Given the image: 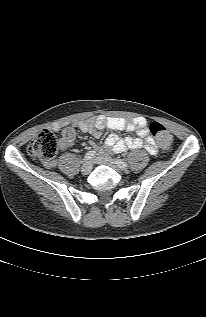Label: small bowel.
Here are the masks:
<instances>
[{"instance_id": "1", "label": "small bowel", "mask_w": 206, "mask_h": 317, "mask_svg": "<svg viewBox=\"0 0 206 317\" xmlns=\"http://www.w3.org/2000/svg\"><path fill=\"white\" fill-rule=\"evenodd\" d=\"M74 128H78L82 132L90 133L95 138H99L102 134V130L105 128L113 131L125 130L136 132L138 137L127 136L125 138H120L116 134H111L106 138L105 144L109 149L116 153H122L128 149L141 148H144L151 155H156L158 153V147L156 146L154 139L149 136L146 121L141 117L128 121L119 117L99 115L87 120L74 122L73 126L67 129L68 133L63 134L59 141L61 149H66L73 144L75 138ZM90 145L94 147L97 152H103V149L98 147L93 141H90ZM56 165V161L46 162L47 167H55Z\"/></svg>"}]
</instances>
